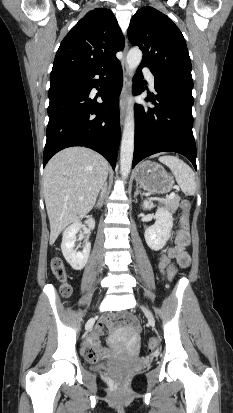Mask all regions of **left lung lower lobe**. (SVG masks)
<instances>
[{
  "label": "left lung lower lobe",
  "instance_id": "0a47b994",
  "mask_svg": "<svg viewBox=\"0 0 233 413\" xmlns=\"http://www.w3.org/2000/svg\"><path fill=\"white\" fill-rule=\"evenodd\" d=\"M141 63L134 79V94L145 89L140 81L143 78ZM156 94L148 95L155 107L135 106V147L133 164L152 154L164 151L177 152L187 157L196 169V144L192 132V89L156 74Z\"/></svg>",
  "mask_w": 233,
  "mask_h": 413
}]
</instances>
